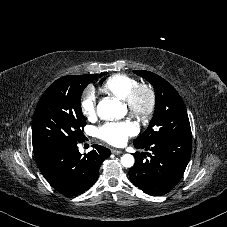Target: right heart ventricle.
<instances>
[{
  "label": "right heart ventricle",
  "instance_id": "obj_1",
  "mask_svg": "<svg viewBox=\"0 0 227 227\" xmlns=\"http://www.w3.org/2000/svg\"><path fill=\"white\" fill-rule=\"evenodd\" d=\"M137 84V80L132 76L127 74H114L103 81L99 90L101 93L124 100L129 91Z\"/></svg>",
  "mask_w": 227,
  "mask_h": 227
}]
</instances>
